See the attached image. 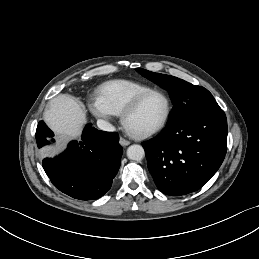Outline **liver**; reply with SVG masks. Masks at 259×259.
Returning <instances> with one entry per match:
<instances>
[{
  "label": "liver",
  "instance_id": "6515ba94",
  "mask_svg": "<svg viewBox=\"0 0 259 259\" xmlns=\"http://www.w3.org/2000/svg\"><path fill=\"white\" fill-rule=\"evenodd\" d=\"M43 119L55 133L62 135L61 140L80 137L87 122L85 110L72 97L64 94L50 101L49 108L44 111ZM57 149L49 147L43 152L46 155H53Z\"/></svg>",
  "mask_w": 259,
  "mask_h": 259
}]
</instances>
